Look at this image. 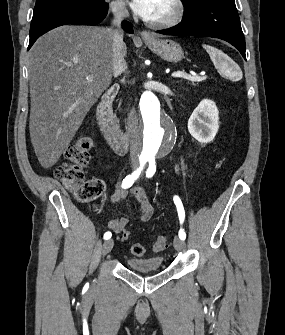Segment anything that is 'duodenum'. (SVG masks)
<instances>
[{
	"label": "duodenum",
	"mask_w": 285,
	"mask_h": 335,
	"mask_svg": "<svg viewBox=\"0 0 285 335\" xmlns=\"http://www.w3.org/2000/svg\"><path fill=\"white\" fill-rule=\"evenodd\" d=\"M118 91L119 86L113 85L102 96L97 107V121L108 144L116 153L123 155L129 148V136L113 113V103Z\"/></svg>",
	"instance_id": "duodenum-1"
}]
</instances>
